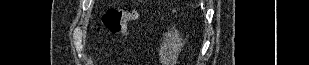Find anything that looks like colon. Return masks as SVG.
Instances as JSON below:
<instances>
[{"label": "colon", "instance_id": "obj_1", "mask_svg": "<svg viewBox=\"0 0 309 65\" xmlns=\"http://www.w3.org/2000/svg\"><path fill=\"white\" fill-rule=\"evenodd\" d=\"M136 16L134 9L111 8L102 15V24L111 34H120Z\"/></svg>", "mask_w": 309, "mask_h": 65}]
</instances>
